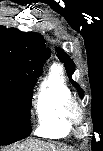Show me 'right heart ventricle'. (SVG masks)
<instances>
[{
  "label": "right heart ventricle",
  "mask_w": 103,
  "mask_h": 151,
  "mask_svg": "<svg viewBox=\"0 0 103 151\" xmlns=\"http://www.w3.org/2000/svg\"><path fill=\"white\" fill-rule=\"evenodd\" d=\"M72 98L59 66L53 65L43 81L36 99L38 127L36 134L44 138H62L69 134L70 124L64 117V106Z\"/></svg>",
  "instance_id": "e07e8e85"
}]
</instances>
